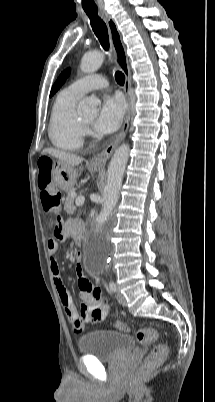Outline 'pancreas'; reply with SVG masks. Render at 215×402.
Returning a JSON list of instances; mask_svg holds the SVG:
<instances>
[{
  "label": "pancreas",
  "instance_id": "obj_1",
  "mask_svg": "<svg viewBox=\"0 0 215 402\" xmlns=\"http://www.w3.org/2000/svg\"><path fill=\"white\" fill-rule=\"evenodd\" d=\"M74 193H75L74 188L68 190L66 202H65V205H64V210L68 214H72L76 210V207L74 205V199H75V196L73 195Z\"/></svg>",
  "mask_w": 215,
  "mask_h": 402
}]
</instances>
